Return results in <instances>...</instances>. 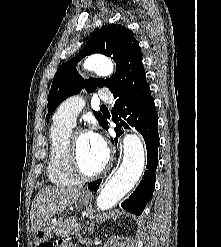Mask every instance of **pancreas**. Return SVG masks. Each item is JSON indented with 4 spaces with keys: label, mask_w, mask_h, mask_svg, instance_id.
Returning <instances> with one entry per match:
<instances>
[{
    "label": "pancreas",
    "mask_w": 221,
    "mask_h": 247,
    "mask_svg": "<svg viewBox=\"0 0 221 247\" xmlns=\"http://www.w3.org/2000/svg\"><path fill=\"white\" fill-rule=\"evenodd\" d=\"M53 229L58 237H69L70 235H76L79 237V241L85 244V241L81 238L80 226L75 218H67L64 221L58 220L53 225Z\"/></svg>",
    "instance_id": "1"
}]
</instances>
